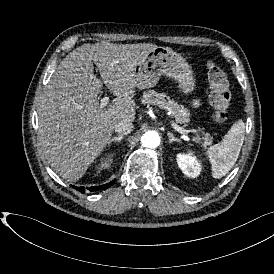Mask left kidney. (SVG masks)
Wrapping results in <instances>:
<instances>
[{
  "mask_svg": "<svg viewBox=\"0 0 274 274\" xmlns=\"http://www.w3.org/2000/svg\"><path fill=\"white\" fill-rule=\"evenodd\" d=\"M177 164L182 172L191 178H196L199 176L202 166L201 163L193 156L192 152L187 154L179 153L177 154Z\"/></svg>",
  "mask_w": 274,
  "mask_h": 274,
  "instance_id": "5707ae66",
  "label": "left kidney"
}]
</instances>
